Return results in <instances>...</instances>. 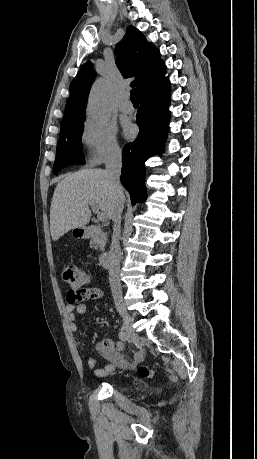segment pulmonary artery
Returning <instances> with one entry per match:
<instances>
[{"instance_id": "e3ab8cb5", "label": "pulmonary artery", "mask_w": 257, "mask_h": 459, "mask_svg": "<svg viewBox=\"0 0 257 459\" xmlns=\"http://www.w3.org/2000/svg\"><path fill=\"white\" fill-rule=\"evenodd\" d=\"M119 109L123 113H131L133 111V104L130 102L128 95H124L123 100L119 105Z\"/></svg>"}]
</instances>
